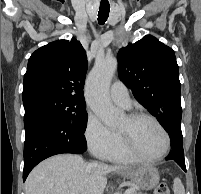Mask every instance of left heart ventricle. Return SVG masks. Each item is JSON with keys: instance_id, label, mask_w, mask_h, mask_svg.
<instances>
[{"instance_id": "1", "label": "left heart ventricle", "mask_w": 201, "mask_h": 194, "mask_svg": "<svg viewBox=\"0 0 201 194\" xmlns=\"http://www.w3.org/2000/svg\"><path fill=\"white\" fill-rule=\"evenodd\" d=\"M119 130L128 132L135 148L144 155L157 156L165 148L166 142L162 131L148 119L131 123L126 117Z\"/></svg>"}]
</instances>
